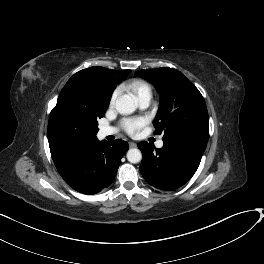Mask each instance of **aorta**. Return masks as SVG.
<instances>
[{"label":"aorta","mask_w":264,"mask_h":264,"mask_svg":"<svg viewBox=\"0 0 264 264\" xmlns=\"http://www.w3.org/2000/svg\"><path fill=\"white\" fill-rule=\"evenodd\" d=\"M137 99L134 95L124 94L116 100V110L123 115L132 114L137 108ZM142 159V154L139 149L132 148L127 152V160L130 163H138Z\"/></svg>","instance_id":"obj_1"}]
</instances>
